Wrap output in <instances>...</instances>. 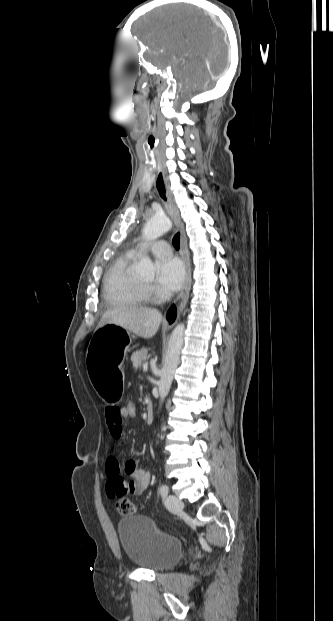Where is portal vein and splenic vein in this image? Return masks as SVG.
I'll use <instances>...</instances> for the list:
<instances>
[{
    "mask_svg": "<svg viewBox=\"0 0 333 621\" xmlns=\"http://www.w3.org/2000/svg\"><path fill=\"white\" fill-rule=\"evenodd\" d=\"M143 370H144V371H147V370H148V364H144V365H143Z\"/></svg>",
    "mask_w": 333,
    "mask_h": 621,
    "instance_id": "18ae733b",
    "label": "portal vein and splenic vein"
}]
</instances>
